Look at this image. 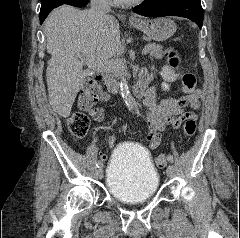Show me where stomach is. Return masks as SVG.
Segmentation results:
<instances>
[{"label": "stomach", "instance_id": "0dacf381", "mask_svg": "<svg viewBox=\"0 0 240 238\" xmlns=\"http://www.w3.org/2000/svg\"><path fill=\"white\" fill-rule=\"evenodd\" d=\"M132 25L155 41H164L176 31L174 21L168 18L141 19Z\"/></svg>", "mask_w": 240, "mask_h": 238}]
</instances>
